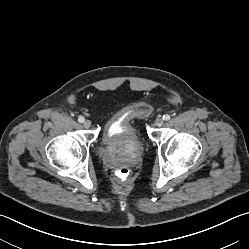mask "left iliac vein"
<instances>
[{"label": "left iliac vein", "mask_w": 249, "mask_h": 249, "mask_svg": "<svg viewBox=\"0 0 249 249\" xmlns=\"http://www.w3.org/2000/svg\"><path fill=\"white\" fill-rule=\"evenodd\" d=\"M163 124H164V121H163L162 118H157V119L155 120V125H156L157 127H161Z\"/></svg>", "instance_id": "1"}]
</instances>
